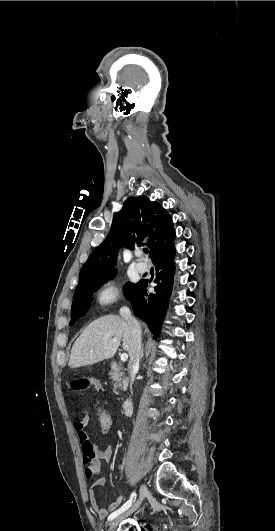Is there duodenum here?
Instances as JSON below:
<instances>
[{
    "instance_id": "410a0bca",
    "label": "duodenum",
    "mask_w": 275,
    "mask_h": 531,
    "mask_svg": "<svg viewBox=\"0 0 275 531\" xmlns=\"http://www.w3.org/2000/svg\"><path fill=\"white\" fill-rule=\"evenodd\" d=\"M110 368L113 372H119L120 371V365L116 361L110 362ZM133 407V401L130 396H128L125 401L121 405V409L124 415H127L131 412Z\"/></svg>"
}]
</instances>
